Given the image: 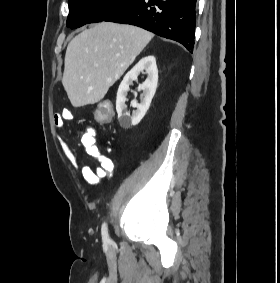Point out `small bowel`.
<instances>
[{
  "instance_id": "1",
  "label": "small bowel",
  "mask_w": 280,
  "mask_h": 283,
  "mask_svg": "<svg viewBox=\"0 0 280 283\" xmlns=\"http://www.w3.org/2000/svg\"><path fill=\"white\" fill-rule=\"evenodd\" d=\"M74 114L69 109H63L54 115V124L56 127H63L67 121H71ZM81 144L89 156L99 161V166L94 170L89 165L80 166V172L83 179L91 186H96L101 179L108 176L114 168L113 160L101 153L96 145L95 132H82L80 135ZM60 147L63 155L71 166L75 169L79 168V162L76 153L63 140H60Z\"/></svg>"
}]
</instances>
